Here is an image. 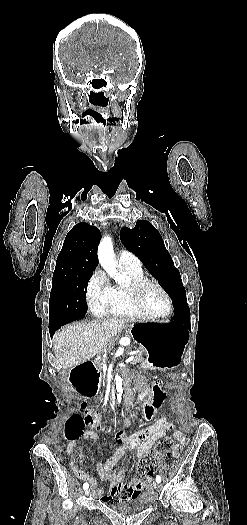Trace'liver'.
<instances>
[{"label": "liver", "instance_id": "liver-1", "mask_svg": "<svg viewBox=\"0 0 247 525\" xmlns=\"http://www.w3.org/2000/svg\"><path fill=\"white\" fill-rule=\"evenodd\" d=\"M122 327L121 321L96 319L90 323L66 325L56 331L52 339L53 351L61 369H72L102 353Z\"/></svg>", "mask_w": 247, "mask_h": 525}]
</instances>
